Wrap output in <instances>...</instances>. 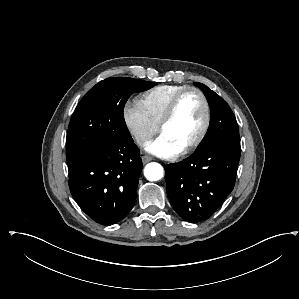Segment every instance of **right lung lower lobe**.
Masks as SVG:
<instances>
[{"label": "right lung lower lobe", "mask_w": 299, "mask_h": 299, "mask_svg": "<svg viewBox=\"0 0 299 299\" xmlns=\"http://www.w3.org/2000/svg\"><path fill=\"white\" fill-rule=\"evenodd\" d=\"M133 139L97 149L69 166V188L80 208L104 225L122 220L136 199L142 160Z\"/></svg>", "instance_id": "right-lung-lower-lobe-1"}]
</instances>
